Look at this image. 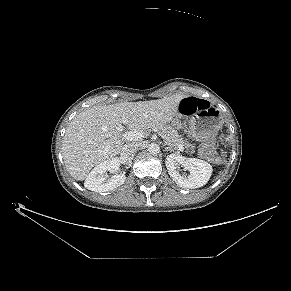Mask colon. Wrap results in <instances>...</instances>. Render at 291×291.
I'll return each mask as SVG.
<instances>
[{
	"mask_svg": "<svg viewBox=\"0 0 291 291\" xmlns=\"http://www.w3.org/2000/svg\"><path fill=\"white\" fill-rule=\"evenodd\" d=\"M181 109L185 114H192L197 110H206L210 107L209 103L202 99L194 101L182 100L180 103ZM204 155L214 163H221L223 159L217 154L215 140H208L202 146Z\"/></svg>",
	"mask_w": 291,
	"mask_h": 291,
	"instance_id": "obj_1",
	"label": "colon"
}]
</instances>
